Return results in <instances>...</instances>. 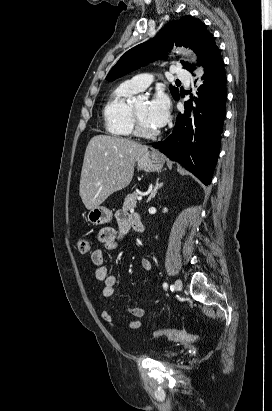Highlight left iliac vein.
I'll list each match as a JSON object with an SVG mask.
<instances>
[{
    "label": "left iliac vein",
    "mask_w": 272,
    "mask_h": 411,
    "mask_svg": "<svg viewBox=\"0 0 272 411\" xmlns=\"http://www.w3.org/2000/svg\"><path fill=\"white\" fill-rule=\"evenodd\" d=\"M174 286H175V289H176L177 291H181V290H182V287H183L182 281H181L180 279H177V280L175 281Z\"/></svg>",
    "instance_id": "obj_1"
}]
</instances>
